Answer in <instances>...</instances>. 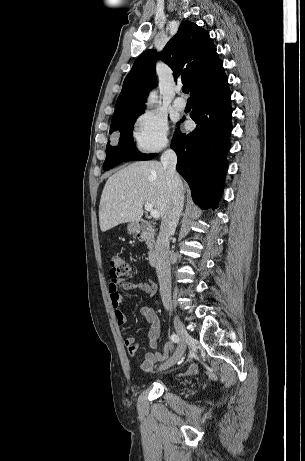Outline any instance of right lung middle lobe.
<instances>
[{"label":"right lung middle lobe","mask_w":305,"mask_h":461,"mask_svg":"<svg viewBox=\"0 0 305 461\" xmlns=\"http://www.w3.org/2000/svg\"><path fill=\"white\" fill-rule=\"evenodd\" d=\"M138 116L140 114L124 119L110 129V133L119 131L120 138L118 144H111L110 141L107 143L106 159L103 164L104 170H109L120 162L150 160L155 156V154H141L134 146L132 129Z\"/></svg>","instance_id":"1"}]
</instances>
